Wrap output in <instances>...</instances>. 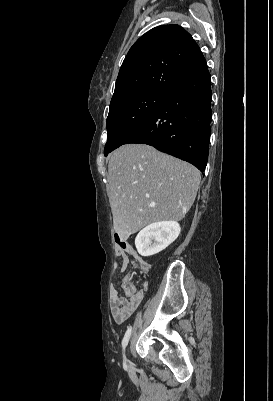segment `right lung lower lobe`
<instances>
[{
    "label": "right lung lower lobe",
    "instance_id": "obj_1",
    "mask_svg": "<svg viewBox=\"0 0 273 401\" xmlns=\"http://www.w3.org/2000/svg\"><path fill=\"white\" fill-rule=\"evenodd\" d=\"M211 78L206 67L165 93L163 101L127 138L185 160L204 171L211 134Z\"/></svg>",
    "mask_w": 273,
    "mask_h": 401
}]
</instances>
